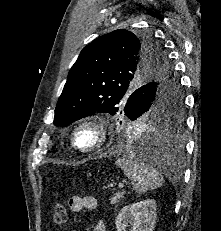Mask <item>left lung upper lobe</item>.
I'll use <instances>...</instances> for the list:
<instances>
[{
  "label": "left lung upper lobe",
  "mask_w": 221,
  "mask_h": 231,
  "mask_svg": "<svg viewBox=\"0 0 221 231\" xmlns=\"http://www.w3.org/2000/svg\"><path fill=\"white\" fill-rule=\"evenodd\" d=\"M135 91L140 99L134 106ZM180 93L167 54L153 36L115 30L81 51L58 100L54 125L124 111L128 118L146 114L159 126H176L183 121Z\"/></svg>",
  "instance_id": "5c2ea615"
}]
</instances>
